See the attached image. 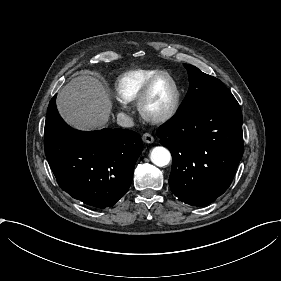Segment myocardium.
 I'll list each match as a JSON object with an SVG mask.
<instances>
[{"label":"myocardium","mask_w":281,"mask_h":281,"mask_svg":"<svg viewBox=\"0 0 281 281\" xmlns=\"http://www.w3.org/2000/svg\"><path fill=\"white\" fill-rule=\"evenodd\" d=\"M163 79H168L171 82L173 87V98L169 108L164 113L152 114L148 112L146 106L153 94L156 84ZM179 102H180V90H179L178 82L172 74L165 72L154 76L148 81V83L146 84L145 88L143 89L142 93L140 94L137 100V109L140 116L145 121L151 123H164L169 121L175 116L179 107Z\"/></svg>","instance_id":"1"}]
</instances>
